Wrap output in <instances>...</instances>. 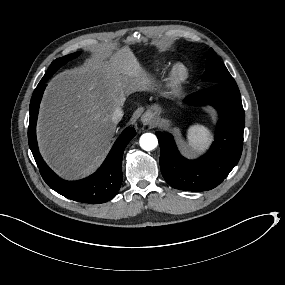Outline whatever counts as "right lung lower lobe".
Listing matches in <instances>:
<instances>
[{
  "mask_svg": "<svg viewBox=\"0 0 285 285\" xmlns=\"http://www.w3.org/2000/svg\"><path fill=\"white\" fill-rule=\"evenodd\" d=\"M40 83L33 92L30 102V120L28 127L29 146L42 178L48 186L64 197L90 204L104 203L112 199L120 189L122 176V158L127 144L136 135L133 127L126 128L113 145L102 166L91 176L78 181H65L58 177L42 159L36 140V122L39 105L46 87Z\"/></svg>",
  "mask_w": 285,
  "mask_h": 285,
  "instance_id": "1",
  "label": "right lung lower lobe"
}]
</instances>
